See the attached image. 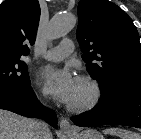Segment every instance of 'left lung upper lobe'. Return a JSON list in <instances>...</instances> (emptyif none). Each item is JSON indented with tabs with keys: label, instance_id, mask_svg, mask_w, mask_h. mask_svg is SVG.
<instances>
[{
	"label": "left lung upper lobe",
	"instance_id": "5c2ea615",
	"mask_svg": "<svg viewBox=\"0 0 141 139\" xmlns=\"http://www.w3.org/2000/svg\"><path fill=\"white\" fill-rule=\"evenodd\" d=\"M78 17L82 58L102 96L141 85V44L132 19L107 0H81Z\"/></svg>",
	"mask_w": 141,
	"mask_h": 139
}]
</instances>
